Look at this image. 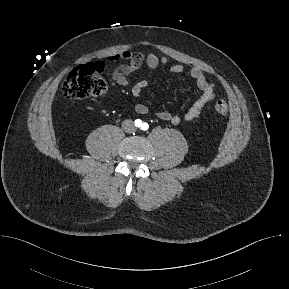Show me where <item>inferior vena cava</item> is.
Returning a JSON list of instances; mask_svg holds the SVG:
<instances>
[{
    "label": "inferior vena cava",
    "mask_w": 289,
    "mask_h": 289,
    "mask_svg": "<svg viewBox=\"0 0 289 289\" xmlns=\"http://www.w3.org/2000/svg\"><path fill=\"white\" fill-rule=\"evenodd\" d=\"M122 128L125 132L131 133L135 130V125L132 120L127 119L122 122Z\"/></svg>",
    "instance_id": "inferior-vena-cava-1"
}]
</instances>
